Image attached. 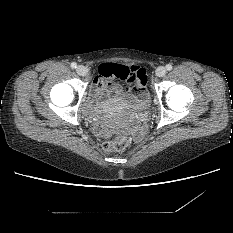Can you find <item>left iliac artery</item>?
<instances>
[{
  "label": "left iliac artery",
  "mask_w": 233,
  "mask_h": 233,
  "mask_svg": "<svg viewBox=\"0 0 233 233\" xmlns=\"http://www.w3.org/2000/svg\"><path fill=\"white\" fill-rule=\"evenodd\" d=\"M166 69H167L168 71L172 70V65H171V64H167V65H166Z\"/></svg>",
  "instance_id": "44dca946"
}]
</instances>
